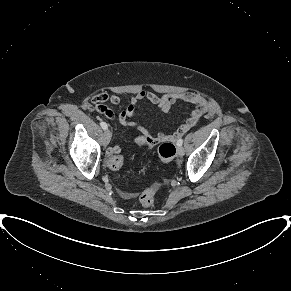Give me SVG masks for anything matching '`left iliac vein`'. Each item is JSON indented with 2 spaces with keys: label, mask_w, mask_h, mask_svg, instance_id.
Instances as JSON below:
<instances>
[{
  "label": "left iliac vein",
  "mask_w": 291,
  "mask_h": 291,
  "mask_svg": "<svg viewBox=\"0 0 291 291\" xmlns=\"http://www.w3.org/2000/svg\"><path fill=\"white\" fill-rule=\"evenodd\" d=\"M184 153H185L184 148L182 146H178V148H177V154L179 156H183Z\"/></svg>",
  "instance_id": "obj_1"
}]
</instances>
